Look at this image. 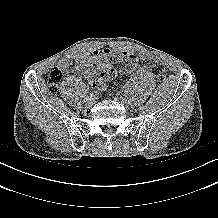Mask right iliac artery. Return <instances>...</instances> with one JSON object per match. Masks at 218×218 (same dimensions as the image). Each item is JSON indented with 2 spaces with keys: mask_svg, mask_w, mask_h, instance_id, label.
<instances>
[{
  "mask_svg": "<svg viewBox=\"0 0 218 218\" xmlns=\"http://www.w3.org/2000/svg\"><path fill=\"white\" fill-rule=\"evenodd\" d=\"M88 95L91 97L92 95H94L93 90H88Z\"/></svg>",
  "mask_w": 218,
  "mask_h": 218,
  "instance_id": "right-iliac-artery-1",
  "label": "right iliac artery"
}]
</instances>
